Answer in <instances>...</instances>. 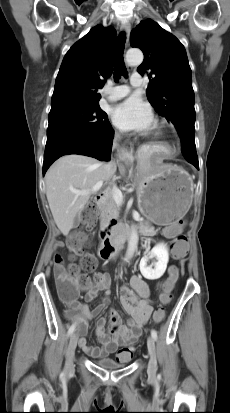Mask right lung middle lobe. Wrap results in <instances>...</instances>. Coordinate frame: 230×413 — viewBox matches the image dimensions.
<instances>
[{"mask_svg": "<svg viewBox=\"0 0 230 413\" xmlns=\"http://www.w3.org/2000/svg\"><path fill=\"white\" fill-rule=\"evenodd\" d=\"M109 126L107 114L99 105L59 107L49 113L47 141L64 135H94Z\"/></svg>", "mask_w": 230, "mask_h": 413, "instance_id": "dd1d6c3e", "label": "right lung middle lobe"}]
</instances>
